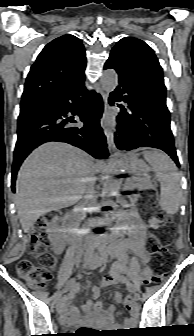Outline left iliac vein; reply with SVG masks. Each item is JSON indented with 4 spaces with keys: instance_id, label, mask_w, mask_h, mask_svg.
<instances>
[{
    "instance_id": "1",
    "label": "left iliac vein",
    "mask_w": 194,
    "mask_h": 336,
    "mask_svg": "<svg viewBox=\"0 0 194 336\" xmlns=\"http://www.w3.org/2000/svg\"><path fill=\"white\" fill-rule=\"evenodd\" d=\"M130 292H135V288H134V286H133V291H130ZM134 299L136 300V301H138V300H140V295L139 294H134Z\"/></svg>"
}]
</instances>
